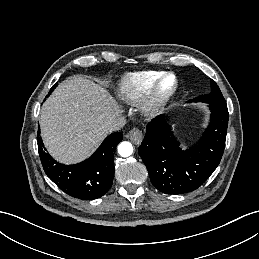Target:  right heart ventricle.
<instances>
[{"mask_svg": "<svg viewBox=\"0 0 259 259\" xmlns=\"http://www.w3.org/2000/svg\"><path fill=\"white\" fill-rule=\"evenodd\" d=\"M161 74L162 72L153 70L126 74L120 84L119 97L128 103L137 102Z\"/></svg>", "mask_w": 259, "mask_h": 259, "instance_id": "right-heart-ventricle-1", "label": "right heart ventricle"}]
</instances>
